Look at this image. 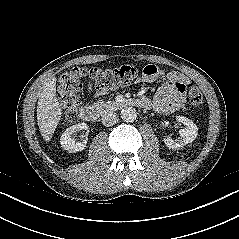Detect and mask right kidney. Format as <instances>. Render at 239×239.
Returning a JSON list of instances; mask_svg holds the SVG:
<instances>
[{
	"label": "right kidney",
	"mask_w": 239,
	"mask_h": 239,
	"mask_svg": "<svg viewBox=\"0 0 239 239\" xmlns=\"http://www.w3.org/2000/svg\"><path fill=\"white\" fill-rule=\"evenodd\" d=\"M79 130H86V134L84 136L85 138L81 142H75V140L71 137V135ZM88 132L89 128L86 123H79L70 126L61 135L60 138L61 147H63L68 152H78L84 150L87 144Z\"/></svg>",
	"instance_id": "1"
}]
</instances>
